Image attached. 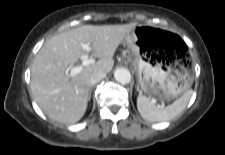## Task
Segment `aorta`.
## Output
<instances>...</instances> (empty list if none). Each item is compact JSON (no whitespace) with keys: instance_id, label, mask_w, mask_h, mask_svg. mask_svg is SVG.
<instances>
[{"instance_id":"1","label":"aorta","mask_w":225,"mask_h":155,"mask_svg":"<svg viewBox=\"0 0 225 155\" xmlns=\"http://www.w3.org/2000/svg\"><path fill=\"white\" fill-rule=\"evenodd\" d=\"M114 78L121 84H128L131 80V74L125 68H118L114 72Z\"/></svg>"}]
</instances>
